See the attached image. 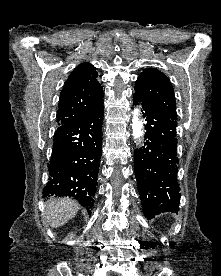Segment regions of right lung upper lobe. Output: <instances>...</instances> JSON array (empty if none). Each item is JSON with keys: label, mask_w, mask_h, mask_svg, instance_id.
<instances>
[{"label": "right lung upper lobe", "mask_w": 221, "mask_h": 276, "mask_svg": "<svg viewBox=\"0 0 221 276\" xmlns=\"http://www.w3.org/2000/svg\"><path fill=\"white\" fill-rule=\"evenodd\" d=\"M97 77L95 67L89 63L73 70L61 91L56 115L58 126L82 121L103 103V89Z\"/></svg>", "instance_id": "cb5924a9"}]
</instances>
